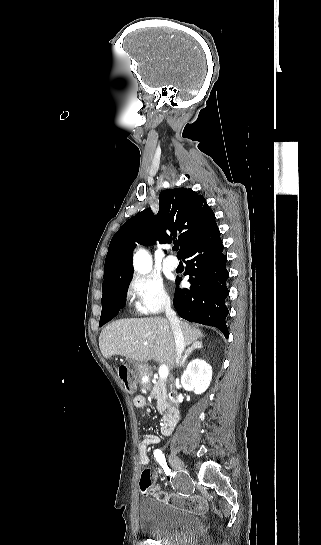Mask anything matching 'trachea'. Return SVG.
I'll return each mask as SVG.
<instances>
[{"instance_id": "1", "label": "trachea", "mask_w": 321, "mask_h": 545, "mask_svg": "<svg viewBox=\"0 0 321 545\" xmlns=\"http://www.w3.org/2000/svg\"><path fill=\"white\" fill-rule=\"evenodd\" d=\"M173 250H178V245H174Z\"/></svg>"}]
</instances>
